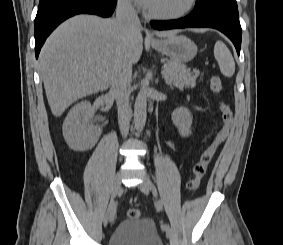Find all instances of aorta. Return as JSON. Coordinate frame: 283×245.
<instances>
[{"mask_svg": "<svg viewBox=\"0 0 283 245\" xmlns=\"http://www.w3.org/2000/svg\"><path fill=\"white\" fill-rule=\"evenodd\" d=\"M147 118V94L145 86L142 85L134 105V125L137 132H141L146 124Z\"/></svg>", "mask_w": 283, "mask_h": 245, "instance_id": "762f6f07", "label": "aorta"}]
</instances>
